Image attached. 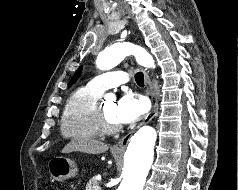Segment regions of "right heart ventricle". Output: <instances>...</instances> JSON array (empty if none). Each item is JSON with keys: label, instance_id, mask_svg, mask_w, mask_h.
<instances>
[{"label": "right heart ventricle", "instance_id": "obj_1", "mask_svg": "<svg viewBox=\"0 0 238 190\" xmlns=\"http://www.w3.org/2000/svg\"><path fill=\"white\" fill-rule=\"evenodd\" d=\"M101 96L88 86L77 89L69 97L61 119L63 136L74 139H95L101 136L96 123V107Z\"/></svg>", "mask_w": 238, "mask_h": 190}]
</instances>
